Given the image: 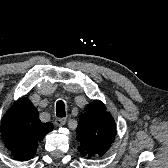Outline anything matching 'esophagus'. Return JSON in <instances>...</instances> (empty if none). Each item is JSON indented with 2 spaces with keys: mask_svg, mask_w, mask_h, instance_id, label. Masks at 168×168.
Returning a JSON list of instances; mask_svg holds the SVG:
<instances>
[{
  "mask_svg": "<svg viewBox=\"0 0 168 168\" xmlns=\"http://www.w3.org/2000/svg\"><path fill=\"white\" fill-rule=\"evenodd\" d=\"M66 122H67L66 118H58V119L55 120V124L57 126H63V125L66 124Z\"/></svg>",
  "mask_w": 168,
  "mask_h": 168,
  "instance_id": "1",
  "label": "esophagus"
}]
</instances>
